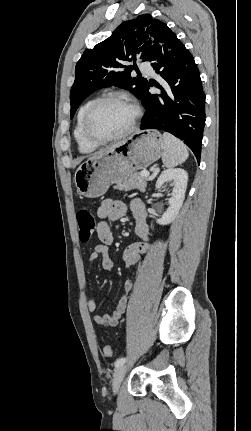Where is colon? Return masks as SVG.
Masks as SVG:
<instances>
[{
  "mask_svg": "<svg viewBox=\"0 0 251 431\" xmlns=\"http://www.w3.org/2000/svg\"><path fill=\"white\" fill-rule=\"evenodd\" d=\"M76 219L79 227L80 241L86 243L91 239L96 228L94 214L89 207H81L76 213ZM103 353L107 358L113 356V350L109 345L104 347Z\"/></svg>",
  "mask_w": 251,
  "mask_h": 431,
  "instance_id": "colon-1",
  "label": "colon"
}]
</instances>
